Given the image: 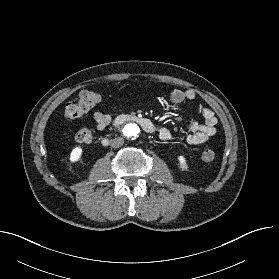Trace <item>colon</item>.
<instances>
[{
    "mask_svg": "<svg viewBox=\"0 0 279 279\" xmlns=\"http://www.w3.org/2000/svg\"><path fill=\"white\" fill-rule=\"evenodd\" d=\"M100 101V96L92 90H83L78 97L67 103L64 109V119L71 123L82 117L89 110L94 108ZM76 140L82 144H89L93 140V135L90 129L82 128L76 134ZM215 158L214 151L209 147H204L200 152V159L203 162H210Z\"/></svg>",
    "mask_w": 279,
    "mask_h": 279,
    "instance_id": "1",
    "label": "colon"
}]
</instances>
